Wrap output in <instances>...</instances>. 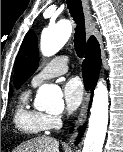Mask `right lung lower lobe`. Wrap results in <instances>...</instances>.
<instances>
[{
    "label": "right lung lower lobe",
    "instance_id": "obj_1",
    "mask_svg": "<svg viewBox=\"0 0 123 152\" xmlns=\"http://www.w3.org/2000/svg\"><path fill=\"white\" fill-rule=\"evenodd\" d=\"M100 66H101V52H100L99 43L96 40V38L92 36L87 43L85 60L82 64L84 84L86 88L91 87L92 90L91 97L93 96V91L97 82ZM80 132H82V129H80ZM79 138L80 136L78 137V139Z\"/></svg>",
    "mask_w": 123,
    "mask_h": 152
}]
</instances>
